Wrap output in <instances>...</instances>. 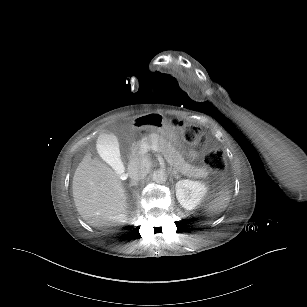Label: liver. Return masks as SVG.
Here are the masks:
<instances>
[{"label":"liver","instance_id":"obj_1","mask_svg":"<svg viewBox=\"0 0 307 307\" xmlns=\"http://www.w3.org/2000/svg\"><path fill=\"white\" fill-rule=\"evenodd\" d=\"M72 187L76 209L89 226H117L127 219L124 185L119 175L97 157L84 156L74 173Z\"/></svg>","mask_w":307,"mask_h":307}]
</instances>
